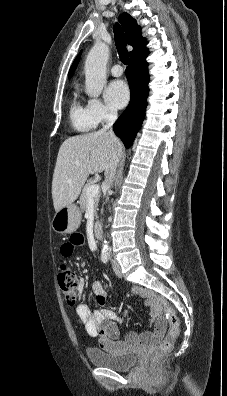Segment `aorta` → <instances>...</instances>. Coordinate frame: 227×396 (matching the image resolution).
<instances>
[{
	"instance_id": "aorta-1",
	"label": "aorta",
	"mask_w": 227,
	"mask_h": 396,
	"mask_svg": "<svg viewBox=\"0 0 227 396\" xmlns=\"http://www.w3.org/2000/svg\"><path fill=\"white\" fill-rule=\"evenodd\" d=\"M109 57V48L102 42H95L85 61V91L90 97H98L106 84V65ZM102 250H108L104 239Z\"/></svg>"
}]
</instances>
